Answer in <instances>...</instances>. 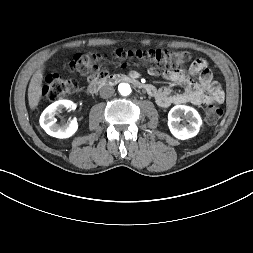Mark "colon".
<instances>
[{
    "label": "colon",
    "instance_id": "colon-1",
    "mask_svg": "<svg viewBox=\"0 0 253 253\" xmlns=\"http://www.w3.org/2000/svg\"><path fill=\"white\" fill-rule=\"evenodd\" d=\"M120 66L126 67L133 64L146 63L154 67H175L190 60V53L186 51H168L162 49H126L119 48L111 53ZM104 55L88 52L76 54L68 63L70 72L86 76L89 83H96L100 78L108 76L110 67L104 62ZM79 83L75 80L64 79L59 75L47 76L42 87V94L48 100H57L71 92L78 90ZM223 114L222 109L210 104L205 108V118L209 124H216Z\"/></svg>",
    "mask_w": 253,
    "mask_h": 253
}]
</instances>
